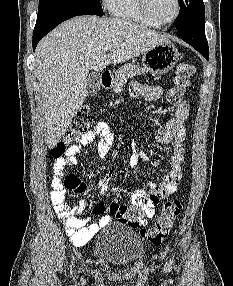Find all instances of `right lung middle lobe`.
I'll list each match as a JSON object with an SVG mask.
<instances>
[{"instance_id": "obj_1", "label": "right lung middle lobe", "mask_w": 233, "mask_h": 286, "mask_svg": "<svg viewBox=\"0 0 233 286\" xmlns=\"http://www.w3.org/2000/svg\"><path fill=\"white\" fill-rule=\"evenodd\" d=\"M71 5L88 11L92 15L103 16L100 0H39L38 16L41 17L49 10L59 5Z\"/></svg>"}]
</instances>
